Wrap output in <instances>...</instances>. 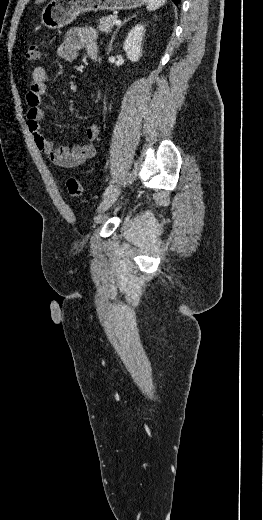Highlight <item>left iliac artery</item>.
<instances>
[{"label": "left iliac artery", "instance_id": "1", "mask_svg": "<svg viewBox=\"0 0 263 520\" xmlns=\"http://www.w3.org/2000/svg\"><path fill=\"white\" fill-rule=\"evenodd\" d=\"M112 190H113V182H111L110 185L105 189V191L103 193V197L107 196Z\"/></svg>", "mask_w": 263, "mask_h": 520}]
</instances>
